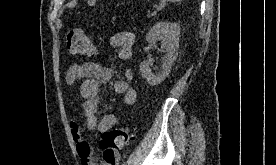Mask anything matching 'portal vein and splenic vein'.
<instances>
[{
  "mask_svg": "<svg viewBox=\"0 0 276 165\" xmlns=\"http://www.w3.org/2000/svg\"><path fill=\"white\" fill-rule=\"evenodd\" d=\"M162 6V5H161ZM157 9H159V7H157ZM157 13V11H154L151 15H155Z\"/></svg>",
  "mask_w": 276,
  "mask_h": 165,
  "instance_id": "18ae733b",
  "label": "portal vein and splenic vein"
}]
</instances>
